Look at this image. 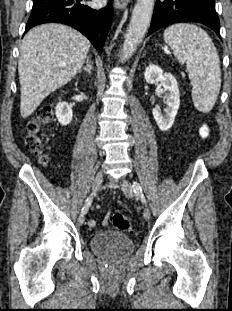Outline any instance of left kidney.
<instances>
[{"mask_svg":"<svg viewBox=\"0 0 232 311\" xmlns=\"http://www.w3.org/2000/svg\"><path fill=\"white\" fill-rule=\"evenodd\" d=\"M144 78L147 83L154 84L161 82L163 86L164 98L166 99V108L164 111L166 114H162L159 106H156L152 110V114L160 130L167 131L172 127L180 106L178 83L173 75L163 73L162 69L154 64L146 67Z\"/></svg>","mask_w":232,"mask_h":311,"instance_id":"5707ae66","label":"left kidney"}]
</instances>
